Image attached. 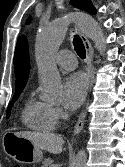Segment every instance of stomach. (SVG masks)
I'll list each match as a JSON object with an SVG mask.
<instances>
[{"instance_id": "obj_1", "label": "stomach", "mask_w": 125, "mask_h": 167, "mask_svg": "<svg viewBox=\"0 0 125 167\" xmlns=\"http://www.w3.org/2000/svg\"><path fill=\"white\" fill-rule=\"evenodd\" d=\"M8 138L4 143L5 152L20 163H38L42 161V151L30 140L16 135V133H7Z\"/></svg>"}]
</instances>
